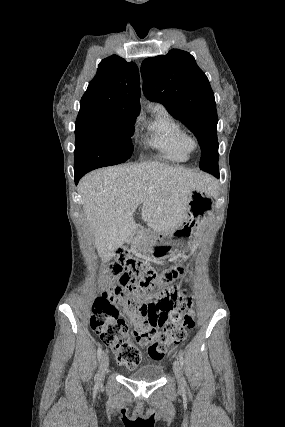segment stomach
Segmentation results:
<instances>
[{"mask_svg":"<svg viewBox=\"0 0 285 427\" xmlns=\"http://www.w3.org/2000/svg\"><path fill=\"white\" fill-rule=\"evenodd\" d=\"M214 212V199L210 192L194 189L188 196L184 221L169 233L151 235L140 247L157 258L190 244L202 225L211 218Z\"/></svg>","mask_w":285,"mask_h":427,"instance_id":"1","label":"stomach"}]
</instances>
